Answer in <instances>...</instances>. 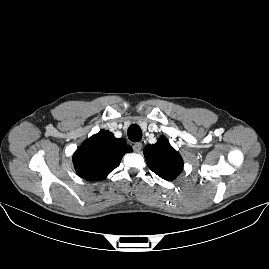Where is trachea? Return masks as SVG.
<instances>
[{"label": "trachea", "mask_w": 269, "mask_h": 269, "mask_svg": "<svg viewBox=\"0 0 269 269\" xmlns=\"http://www.w3.org/2000/svg\"><path fill=\"white\" fill-rule=\"evenodd\" d=\"M128 138L133 142H138L142 138L141 128L137 124H132L128 128Z\"/></svg>", "instance_id": "trachea-1"}]
</instances>
